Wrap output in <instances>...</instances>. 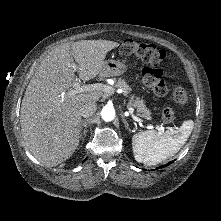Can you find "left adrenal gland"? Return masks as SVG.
Returning a JSON list of instances; mask_svg holds the SVG:
<instances>
[{
    "instance_id": "1",
    "label": "left adrenal gland",
    "mask_w": 221,
    "mask_h": 221,
    "mask_svg": "<svg viewBox=\"0 0 221 221\" xmlns=\"http://www.w3.org/2000/svg\"><path fill=\"white\" fill-rule=\"evenodd\" d=\"M121 117H122L123 123L125 124V128L128 129V130H130V129H129V126H128V122H127V120L125 119V116L122 115Z\"/></svg>"
}]
</instances>
